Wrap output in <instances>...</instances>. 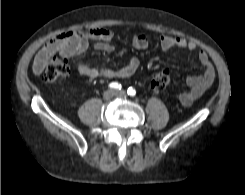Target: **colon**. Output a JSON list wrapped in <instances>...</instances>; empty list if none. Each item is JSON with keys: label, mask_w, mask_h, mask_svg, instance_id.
I'll use <instances>...</instances> for the list:
<instances>
[{"label": "colon", "mask_w": 245, "mask_h": 195, "mask_svg": "<svg viewBox=\"0 0 245 195\" xmlns=\"http://www.w3.org/2000/svg\"><path fill=\"white\" fill-rule=\"evenodd\" d=\"M69 73L70 67L67 58L51 55L44 70V79L48 82H54L66 78ZM169 82V71L162 70L152 75L150 86L154 91H161L169 84Z\"/></svg>", "instance_id": "1"}]
</instances>
